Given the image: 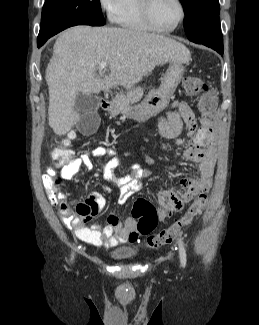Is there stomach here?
<instances>
[{"label":"stomach","mask_w":259,"mask_h":325,"mask_svg":"<svg viewBox=\"0 0 259 325\" xmlns=\"http://www.w3.org/2000/svg\"><path fill=\"white\" fill-rule=\"evenodd\" d=\"M184 74L182 63L172 61L157 90L151 91L146 98L136 106L109 103L105 110L111 114H126L136 121L142 122L156 116L164 110L175 92Z\"/></svg>","instance_id":"stomach-1"}]
</instances>
